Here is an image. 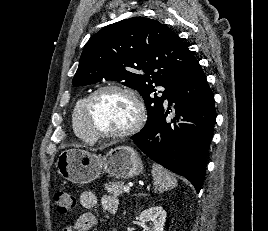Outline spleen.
<instances>
[{
	"mask_svg": "<svg viewBox=\"0 0 268 231\" xmlns=\"http://www.w3.org/2000/svg\"><path fill=\"white\" fill-rule=\"evenodd\" d=\"M152 176L155 188L159 191H167L177 185L174 175L159 164L152 165Z\"/></svg>",
	"mask_w": 268,
	"mask_h": 231,
	"instance_id": "1",
	"label": "spleen"
}]
</instances>
